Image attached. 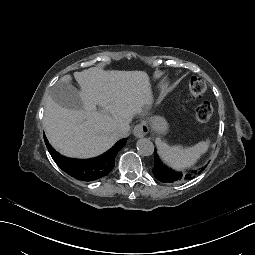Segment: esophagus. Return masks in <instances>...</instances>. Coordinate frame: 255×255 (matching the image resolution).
I'll list each match as a JSON object with an SVG mask.
<instances>
[{"label": "esophagus", "mask_w": 255, "mask_h": 255, "mask_svg": "<svg viewBox=\"0 0 255 255\" xmlns=\"http://www.w3.org/2000/svg\"><path fill=\"white\" fill-rule=\"evenodd\" d=\"M149 132V127L146 121H142L140 124L136 125L133 134L137 138H142L146 136Z\"/></svg>", "instance_id": "1"}]
</instances>
